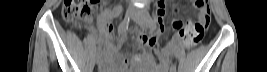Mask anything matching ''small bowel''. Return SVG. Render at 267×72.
Here are the masks:
<instances>
[{"instance_id": "c3829d8e", "label": "small bowel", "mask_w": 267, "mask_h": 72, "mask_svg": "<svg viewBox=\"0 0 267 72\" xmlns=\"http://www.w3.org/2000/svg\"><path fill=\"white\" fill-rule=\"evenodd\" d=\"M117 10L119 11L120 8L118 7L116 9H114L113 12H116ZM113 12L112 11H108L107 14H104L100 18L98 23H99L100 29L102 31H108L107 20H108L110 14L113 13ZM158 14L161 17L165 14V6L162 3L158 5ZM176 21L182 22V21L177 20V19L174 20V22H176ZM174 22H173V24H174ZM188 23H191V21L188 22ZM187 24H184V25H187ZM180 39H183L180 35L175 37V43L170 47V51H174L175 50V48L177 47ZM138 42H139V48L143 50V49H146L148 47H153L156 44V38L153 37V36L142 35V36L138 37ZM104 48H105L106 54H110L112 52V45L109 43L108 40H105ZM157 54H159L158 51H157ZM167 61H168L167 59H163L162 60V65L161 66H156V62L152 57L146 56L144 58V62L148 65V69H150L149 72H164L166 67H167ZM124 64H125V62H121L120 63L118 71H122L123 70Z\"/></svg>"}]
</instances>
